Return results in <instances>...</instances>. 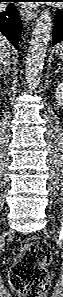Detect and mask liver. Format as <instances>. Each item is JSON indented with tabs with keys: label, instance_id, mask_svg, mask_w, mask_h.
I'll use <instances>...</instances> for the list:
<instances>
[{
	"label": "liver",
	"instance_id": "liver-1",
	"mask_svg": "<svg viewBox=\"0 0 63 297\" xmlns=\"http://www.w3.org/2000/svg\"><path fill=\"white\" fill-rule=\"evenodd\" d=\"M10 43L9 41L1 36L0 37V62L2 63V61H4L7 57H9L10 53H9V50H10Z\"/></svg>",
	"mask_w": 63,
	"mask_h": 297
}]
</instances>
